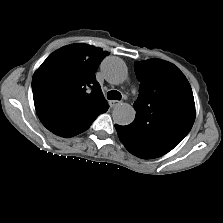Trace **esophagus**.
<instances>
[{
    "label": "esophagus",
    "mask_w": 223,
    "mask_h": 223,
    "mask_svg": "<svg viewBox=\"0 0 223 223\" xmlns=\"http://www.w3.org/2000/svg\"><path fill=\"white\" fill-rule=\"evenodd\" d=\"M120 103H121L120 101L112 100L109 102V105L111 108H114L115 106L119 105Z\"/></svg>",
    "instance_id": "1"
}]
</instances>
